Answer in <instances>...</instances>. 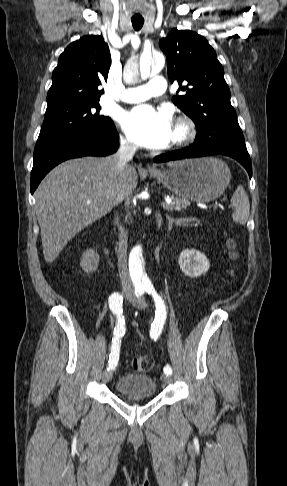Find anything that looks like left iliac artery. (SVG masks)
Returning a JSON list of instances; mask_svg holds the SVG:
<instances>
[{
  "mask_svg": "<svg viewBox=\"0 0 287 486\" xmlns=\"http://www.w3.org/2000/svg\"><path fill=\"white\" fill-rule=\"evenodd\" d=\"M145 290L148 294L152 295L154 302H155V307H156L155 319H154L153 324L151 325L150 336H151L152 339L157 340V338L159 337V335L161 334V331L163 329V325H164L165 320H166L167 311H166L164 301L157 294V292L155 291L153 286L149 285V286L145 287ZM163 371L167 375L172 374V369H171L170 365H168V364L164 367Z\"/></svg>",
  "mask_w": 287,
  "mask_h": 486,
  "instance_id": "obj_1",
  "label": "left iliac artery"
}]
</instances>
